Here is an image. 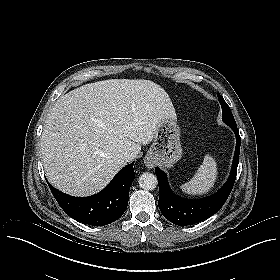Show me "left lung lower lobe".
Returning <instances> with one entry per match:
<instances>
[{
  "label": "left lung lower lobe",
  "instance_id": "1",
  "mask_svg": "<svg viewBox=\"0 0 280 280\" xmlns=\"http://www.w3.org/2000/svg\"><path fill=\"white\" fill-rule=\"evenodd\" d=\"M230 127L236 135L232 169L227 182L216 194L200 200H189L176 196L169 187L166 174L158 167L155 168L160 191L158 205L163 216L173 224L186 226L201 222L218 212L227 200L236 179L241 143L237 126Z\"/></svg>",
  "mask_w": 280,
  "mask_h": 280
}]
</instances>
